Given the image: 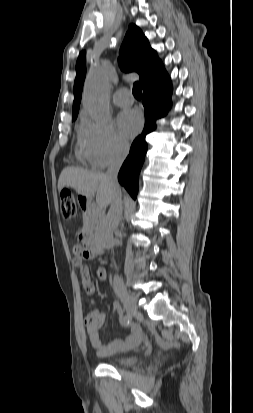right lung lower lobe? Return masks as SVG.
<instances>
[{
    "label": "right lung lower lobe",
    "mask_w": 253,
    "mask_h": 413,
    "mask_svg": "<svg viewBox=\"0 0 253 413\" xmlns=\"http://www.w3.org/2000/svg\"><path fill=\"white\" fill-rule=\"evenodd\" d=\"M172 85L168 75L159 76L143 85V106L145 108V126L131 145L130 153L124 161L118 180L129 194L136 198L138 175L147 152L145 137L156 128V120L165 116L171 107Z\"/></svg>",
    "instance_id": "1"
}]
</instances>
